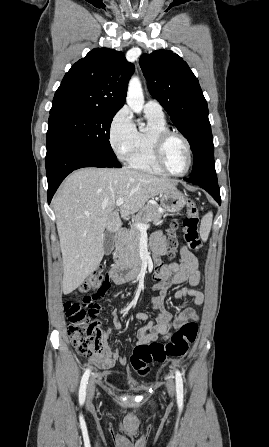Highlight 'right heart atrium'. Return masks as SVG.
Wrapping results in <instances>:
<instances>
[{
	"label": "right heart atrium",
	"instance_id": "1",
	"mask_svg": "<svg viewBox=\"0 0 269 447\" xmlns=\"http://www.w3.org/2000/svg\"><path fill=\"white\" fill-rule=\"evenodd\" d=\"M136 132L133 122V116L129 108L124 106L120 108L112 117L108 128V141L121 160L128 157Z\"/></svg>",
	"mask_w": 269,
	"mask_h": 447
}]
</instances>
